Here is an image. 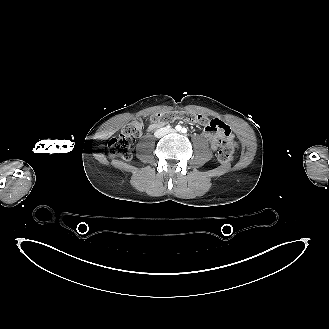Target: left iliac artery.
Returning <instances> with one entry per match:
<instances>
[{
    "label": "left iliac artery",
    "instance_id": "left-iliac-artery-1",
    "mask_svg": "<svg viewBox=\"0 0 329 329\" xmlns=\"http://www.w3.org/2000/svg\"><path fill=\"white\" fill-rule=\"evenodd\" d=\"M182 133H187V129L186 128H182Z\"/></svg>",
    "mask_w": 329,
    "mask_h": 329
}]
</instances>
